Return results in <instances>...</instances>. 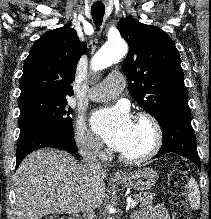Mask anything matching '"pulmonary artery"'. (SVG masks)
Segmentation results:
<instances>
[{
    "instance_id": "1",
    "label": "pulmonary artery",
    "mask_w": 211,
    "mask_h": 219,
    "mask_svg": "<svg viewBox=\"0 0 211 219\" xmlns=\"http://www.w3.org/2000/svg\"><path fill=\"white\" fill-rule=\"evenodd\" d=\"M125 84V77L121 72L113 71L106 80L91 89L88 99L92 101H106L120 93Z\"/></svg>"
}]
</instances>
